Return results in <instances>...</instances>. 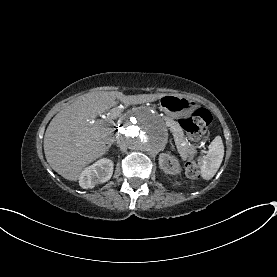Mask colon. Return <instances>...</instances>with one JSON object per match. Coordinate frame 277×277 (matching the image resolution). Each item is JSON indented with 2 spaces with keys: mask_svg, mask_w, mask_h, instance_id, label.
Returning a JSON list of instances; mask_svg holds the SVG:
<instances>
[{
  "mask_svg": "<svg viewBox=\"0 0 277 277\" xmlns=\"http://www.w3.org/2000/svg\"><path fill=\"white\" fill-rule=\"evenodd\" d=\"M194 118L185 115L180 119V126L189 136V142L180 146L179 150L185 161V173L190 178H196L199 175L197 163L193 160L196 153V144L205 134L211 123V114L205 108H196Z\"/></svg>",
  "mask_w": 277,
  "mask_h": 277,
  "instance_id": "colon-1",
  "label": "colon"
}]
</instances>
